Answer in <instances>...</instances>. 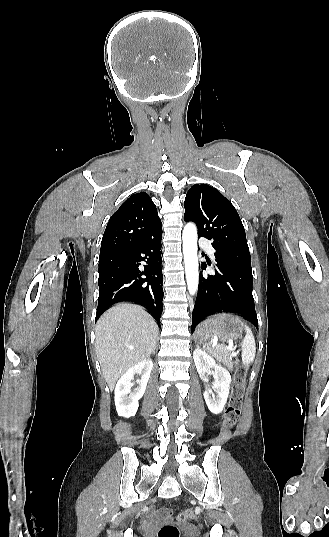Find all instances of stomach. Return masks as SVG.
<instances>
[{
  "mask_svg": "<svg viewBox=\"0 0 329 537\" xmlns=\"http://www.w3.org/2000/svg\"><path fill=\"white\" fill-rule=\"evenodd\" d=\"M246 325L235 315L221 313L201 323L195 333L199 342L220 339L221 341L239 338Z\"/></svg>",
  "mask_w": 329,
  "mask_h": 537,
  "instance_id": "1",
  "label": "stomach"
}]
</instances>
